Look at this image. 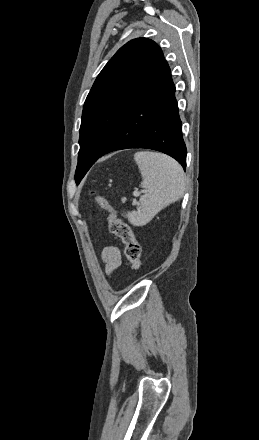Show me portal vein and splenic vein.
I'll return each instance as SVG.
<instances>
[{"mask_svg": "<svg viewBox=\"0 0 259 440\" xmlns=\"http://www.w3.org/2000/svg\"><path fill=\"white\" fill-rule=\"evenodd\" d=\"M144 192H145V191L135 192V193H134V196L137 197V196H139L141 193H144Z\"/></svg>", "mask_w": 259, "mask_h": 440, "instance_id": "portal-vein-and-splenic-vein-1", "label": "portal vein and splenic vein"}]
</instances>
